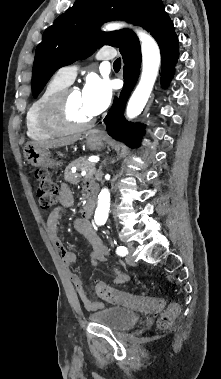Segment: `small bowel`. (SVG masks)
I'll return each mask as SVG.
<instances>
[{
    "mask_svg": "<svg viewBox=\"0 0 221 379\" xmlns=\"http://www.w3.org/2000/svg\"><path fill=\"white\" fill-rule=\"evenodd\" d=\"M89 184L90 183L86 185V188ZM59 201L61 206L55 209L47 219V234L52 244L58 249L61 255L62 264L68 272L69 279L74 285L79 299L87 309L96 310L102 306V303L91 300L85 292L80 277L76 273L70 271L71 265L76 262V256L72 251L65 247L58 234L59 224L62 219L64 210L72 207L74 203L73 193L66 185H62L60 188ZM74 228L88 240L92 247L90 263L92 265H95L98 262L105 261L106 256L108 255V249L93 228L89 217L84 215L82 218L76 219L74 222ZM113 272V282L115 284H124L127 283L130 279L127 274L123 273L119 269H114Z\"/></svg>",
    "mask_w": 221,
    "mask_h": 379,
    "instance_id": "small-bowel-1",
    "label": "small bowel"
}]
</instances>
